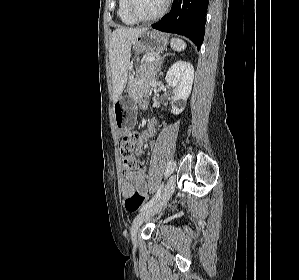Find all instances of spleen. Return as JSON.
<instances>
[{
	"mask_svg": "<svg viewBox=\"0 0 299 280\" xmlns=\"http://www.w3.org/2000/svg\"><path fill=\"white\" fill-rule=\"evenodd\" d=\"M170 45L174 51H182L186 48V43L179 38H172L170 41Z\"/></svg>",
	"mask_w": 299,
	"mask_h": 280,
	"instance_id": "spleen-1",
	"label": "spleen"
}]
</instances>
